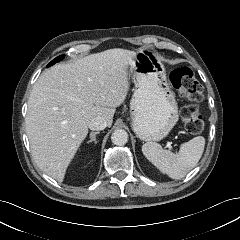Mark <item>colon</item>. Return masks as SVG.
<instances>
[{
	"mask_svg": "<svg viewBox=\"0 0 240 240\" xmlns=\"http://www.w3.org/2000/svg\"><path fill=\"white\" fill-rule=\"evenodd\" d=\"M170 81L179 96L189 101L182 109V120L186 130L192 135L201 133L204 127L203 116L198 109V103L204 98L201 83L188 67L174 69L170 74Z\"/></svg>",
	"mask_w": 240,
	"mask_h": 240,
	"instance_id": "1",
	"label": "colon"
}]
</instances>
